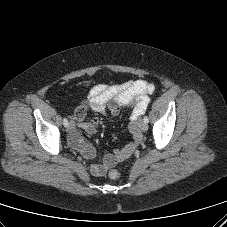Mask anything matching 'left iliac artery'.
<instances>
[{
  "label": "left iliac artery",
  "instance_id": "obj_1",
  "mask_svg": "<svg viewBox=\"0 0 227 227\" xmlns=\"http://www.w3.org/2000/svg\"><path fill=\"white\" fill-rule=\"evenodd\" d=\"M143 120H144L145 123H148L149 122V119H148L147 116H144Z\"/></svg>",
  "mask_w": 227,
  "mask_h": 227
}]
</instances>
